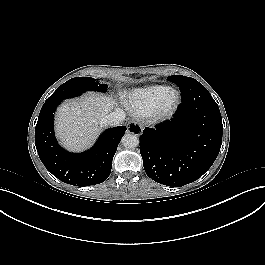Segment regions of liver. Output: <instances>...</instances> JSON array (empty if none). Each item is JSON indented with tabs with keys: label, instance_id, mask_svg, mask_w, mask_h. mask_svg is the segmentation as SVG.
<instances>
[{
	"label": "liver",
	"instance_id": "obj_1",
	"mask_svg": "<svg viewBox=\"0 0 265 265\" xmlns=\"http://www.w3.org/2000/svg\"><path fill=\"white\" fill-rule=\"evenodd\" d=\"M115 104L114 99L96 93L64 102L55 118L58 139L70 151L89 148L100 132L101 119L113 110Z\"/></svg>",
	"mask_w": 265,
	"mask_h": 265
}]
</instances>
